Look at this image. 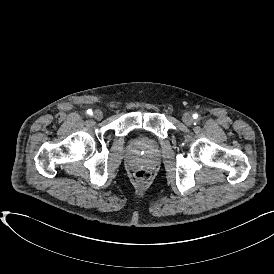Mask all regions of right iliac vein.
<instances>
[{"mask_svg": "<svg viewBox=\"0 0 274 274\" xmlns=\"http://www.w3.org/2000/svg\"><path fill=\"white\" fill-rule=\"evenodd\" d=\"M93 117L96 120H101L103 118V112L101 110H95L93 113Z\"/></svg>", "mask_w": 274, "mask_h": 274, "instance_id": "obj_1", "label": "right iliac vein"}]
</instances>
